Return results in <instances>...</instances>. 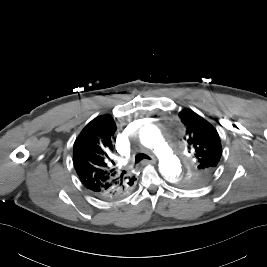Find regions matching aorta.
Masks as SVG:
<instances>
[{"mask_svg":"<svg viewBox=\"0 0 267 267\" xmlns=\"http://www.w3.org/2000/svg\"><path fill=\"white\" fill-rule=\"evenodd\" d=\"M141 143L154 149L159 158V170L171 183H178L181 179L182 165L180 160L163 139L160 130L154 125H145L139 133Z\"/></svg>","mask_w":267,"mask_h":267,"instance_id":"obj_1","label":"aorta"}]
</instances>
